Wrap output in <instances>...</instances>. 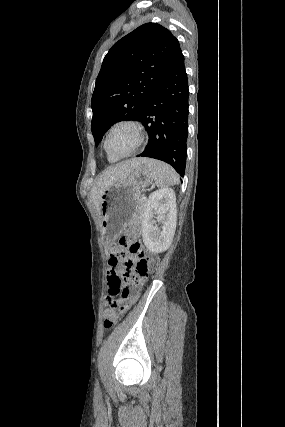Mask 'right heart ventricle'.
Listing matches in <instances>:
<instances>
[{
  "mask_svg": "<svg viewBox=\"0 0 285 427\" xmlns=\"http://www.w3.org/2000/svg\"><path fill=\"white\" fill-rule=\"evenodd\" d=\"M108 160H109L110 162H115V161L117 160V158H116V157H113V156H111V155H109V154H108Z\"/></svg>",
  "mask_w": 285,
  "mask_h": 427,
  "instance_id": "e07e8e85",
  "label": "right heart ventricle"
}]
</instances>
